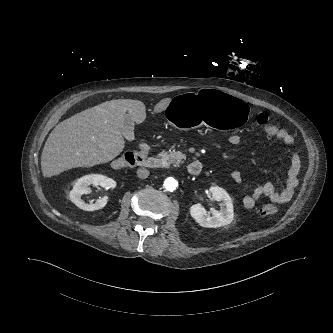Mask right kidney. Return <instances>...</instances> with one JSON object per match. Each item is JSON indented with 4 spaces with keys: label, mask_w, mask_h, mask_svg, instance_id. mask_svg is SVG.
Wrapping results in <instances>:
<instances>
[{
    "label": "right kidney",
    "mask_w": 333,
    "mask_h": 333,
    "mask_svg": "<svg viewBox=\"0 0 333 333\" xmlns=\"http://www.w3.org/2000/svg\"><path fill=\"white\" fill-rule=\"evenodd\" d=\"M90 185L101 186L105 188H114L116 182L108 178L107 176L101 174H89L79 178L73 189L70 191V200L80 209L84 211H94L103 208L107 203V197H102L96 200L95 203H85L81 196L88 193V188Z\"/></svg>",
    "instance_id": "right-kidney-1"
}]
</instances>
